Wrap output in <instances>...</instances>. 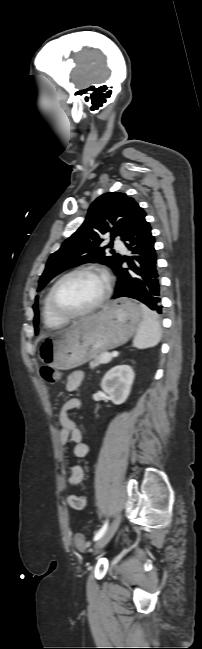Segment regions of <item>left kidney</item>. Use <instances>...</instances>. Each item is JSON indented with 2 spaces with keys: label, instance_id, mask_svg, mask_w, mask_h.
Segmentation results:
<instances>
[{
  "label": "left kidney",
  "instance_id": "left-kidney-1",
  "mask_svg": "<svg viewBox=\"0 0 202 649\" xmlns=\"http://www.w3.org/2000/svg\"><path fill=\"white\" fill-rule=\"evenodd\" d=\"M134 376L130 366H116L105 374L101 381V388L114 404H122L130 394Z\"/></svg>",
  "mask_w": 202,
  "mask_h": 649
}]
</instances>
